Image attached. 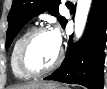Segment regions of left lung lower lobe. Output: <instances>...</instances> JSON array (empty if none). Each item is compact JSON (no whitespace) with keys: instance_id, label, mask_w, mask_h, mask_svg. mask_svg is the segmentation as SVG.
Segmentation results:
<instances>
[{"instance_id":"0a47b994","label":"left lung lower lobe","mask_w":107,"mask_h":89,"mask_svg":"<svg viewBox=\"0 0 107 89\" xmlns=\"http://www.w3.org/2000/svg\"><path fill=\"white\" fill-rule=\"evenodd\" d=\"M107 0H93L82 39L69 45L66 57L55 72L44 80L80 84L88 89H103L106 45Z\"/></svg>"}]
</instances>
